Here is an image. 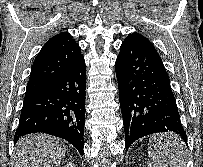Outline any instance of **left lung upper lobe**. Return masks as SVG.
Masks as SVG:
<instances>
[{
    "mask_svg": "<svg viewBox=\"0 0 203 167\" xmlns=\"http://www.w3.org/2000/svg\"><path fill=\"white\" fill-rule=\"evenodd\" d=\"M126 39L132 40L147 49L157 52L152 43L147 38L143 37L141 34L137 33L129 34Z\"/></svg>",
    "mask_w": 203,
    "mask_h": 167,
    "instance_id": "1",
    "label": "left lung upper lobe"
}]
</instances>
